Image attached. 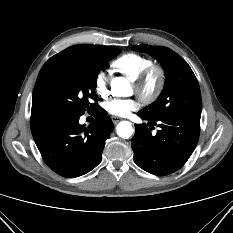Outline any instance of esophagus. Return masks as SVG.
Here are the masks:
<instances>
[{
	"instance_id": "obj_1",
	"label": "esophagus",
	"mask_w": 233,
	"mask_h": 233,
	"mask_svg": "<svg viewBox=\"0 0 233 233\" xmlns=\"http://www.w3.org/2000/svg\"><path fill=\"white\" fill-rule=\"evenodd\" d=\"M120 120H121L120 117L112 116V121H113L114 124H117Z\"/></svg>"
}]
</instances>
